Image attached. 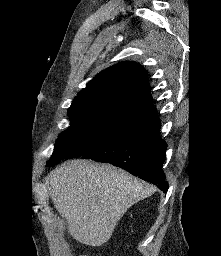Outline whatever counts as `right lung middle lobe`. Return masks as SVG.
<instances>
[{"instance_id": "obj_1", "label": "right lung middle lobe", "mask_w": 221, "mask_h": 256, "mask_svg": "<svg viewBox=\"0 0 221 256\" xmlns=\"http://www.w3.org/2000/svg\"><path fill=\"white\" fill-rule=\"evenodd\" d=\"M68 116L70 128L59 135L48 166L82 156L106 140L145 123L143 115L109 107L69 111Z\"/></svg>"}]
</instances>
